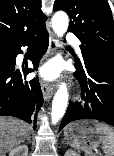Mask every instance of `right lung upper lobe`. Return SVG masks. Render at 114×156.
Wrapping results in <instances>:
<instances>
[{"instance_id":"right-lung-upper-lobe-1","label":"right lung upper lobe","mask_w":114,"mask_h":156,"mask_svg":"<svg viewBox=\"0 0 114 156\" xmlns=\"http://www.w3.org/2000/svg\"><path fill=\"white\" fill-rule=\"evenodd\" d=\"M41 0H0V45L45 25Z\"/></svg>"}]
</instances>
